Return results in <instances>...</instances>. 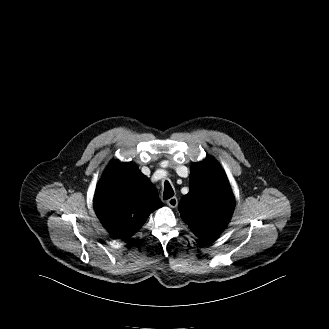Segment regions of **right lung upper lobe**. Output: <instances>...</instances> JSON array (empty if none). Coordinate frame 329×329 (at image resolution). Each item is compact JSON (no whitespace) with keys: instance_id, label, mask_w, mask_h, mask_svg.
<instances>
[{"instance_id":"cb5924a9","label":"right lung upper lobe","mask_w":329,"mask_h":329,"mask_svg":"<svg viewBox=\"0 0 329 329\" xmlns=\"http://www.w3.org/2000/svg\"><path fill=\"white\" fill-rule=\"evenodd\" d=\"M163 206L157 190L137 166L110 163L94 195V210L105 229L125 240L134 235L154 210Z\"/></svg>"}]
</instances>
